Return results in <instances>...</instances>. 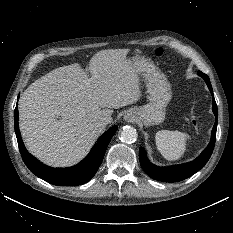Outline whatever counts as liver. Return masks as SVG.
I'll return each instance as SVG.
<instances>
[{"mask_svg":"<svg viewBox=\"0 0 233 233\" xmlns=\"http://www.w3.org/2000/svg\"><path fill=\"white\" fill-rule=\"evenodd\" d=\"M128 52L101 50L89 62L90 78L74 63L52 70L24 91L19 126L32 155L55 167L72 166L87 155L103 130L98 120L140 97L138 71Z\"/></svg>","mask_w":233,"mask_h":233,"instance_id":"6515ba94","label":"liver"}]
</instances>
